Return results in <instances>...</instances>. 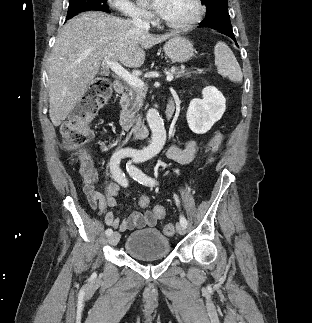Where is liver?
Listing matches in <instances>:
<instances>
[{
  "mask_svg": "<svg viewBox=\"0 0 312 323\" xmlns=\"http://www.w3.org/2000/svg\"><path fill=\"white\" fill-rule=\"evenodd\" d=\"M174 34L152 36L132 22L104 12H83L58 30L50 54L49 116L60 126L83 98L103 62H120L140 68L145 52Z\"/></svg>",
  "mask_w": 312,
  "mask_h": 323,
  "instance_id": "obj_1",
  "label": "liver"
}]
</instances>
